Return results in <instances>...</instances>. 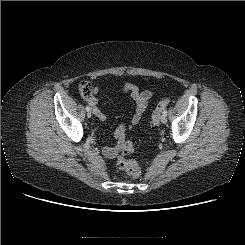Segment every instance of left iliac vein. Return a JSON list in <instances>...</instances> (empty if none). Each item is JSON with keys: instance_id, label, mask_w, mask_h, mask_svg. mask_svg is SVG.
I'll return each instance as SVG.
<instances>
[{"instance_id": "left-iliac-vein-1", "label": "left iliac vein", "mask_w": 245, "mask_h": 245, "mask_svg": "<svg viewBox=\"0 0 245 245\" xmlns=\"http://www.w3.org/2000/svg\"><path fill=\"white\" fill-rule=\"evenodd\" d=\"M167 122V117L165 115L161 116V123L165 124Z\"/></svg>"}]
</instances>
